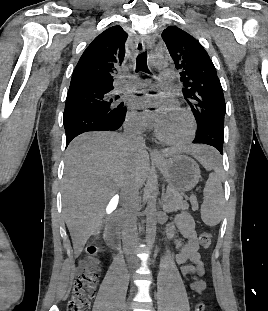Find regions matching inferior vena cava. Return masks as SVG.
I'll return each mask as SVG.
<instances>
[{
  "label": "inferior vena cava",
  "mask_w": 268,
  "mask_h": 311,
  "mask_svg": "<svg viewBox=\"0 0 268 311\" xmlns=\"http://www.w3.org/2000/svg\"><path fill=\"white\" fill-rule=\"evenodd\" d=\"M124 136L133 143H136V140L128 135ZM139 147H143V143H137ZM137 146V147H138ZM138 201V191L133 189H126L122 193V203L119 211L120 215V224L123 235V243L127 248L135 247L138 243V233H137V217H136V208ZM128 261L135 263L134 256L129 252L127 253Z\"/></svg>",
  "instance_id": "inferior-vena-cava-1"
}]
</instances>
